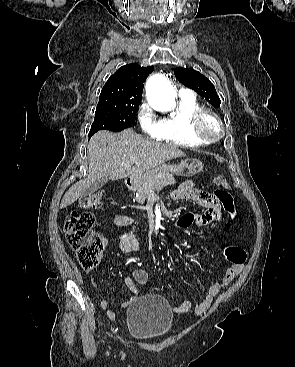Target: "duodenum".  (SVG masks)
<instances>
[{
	"instance_id": "1",
	"label": "duodenum",
	"mask_w": 295,
	"mask_h": 367,
	"mask_svg": "<svg viewBox=\"0 0 295 367\" xmlns=\"http://www.w3.org/2000/svg\"><path fill=\"white\" fill-rule=\"evenodd\" d=\"M134 184H135V178L130 177L126 180V185L128 188H133Z\"/></svg>"
}]
</instances>
